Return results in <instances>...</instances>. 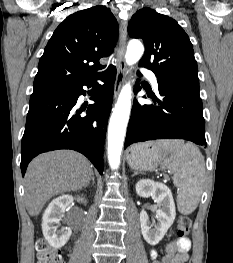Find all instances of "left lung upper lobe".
I'll use <instances>...</instances> for the list:
<instances>
[{"label": "left lung upper lobe", "instance_id": "left-lung-upper-lobe-1", "mask_svg": "<svg viewBox=\"0 0 233 263\" xmlns=\"http://www.w3.org/2000/svg\"><path fill=\"white\" fill-rule=\"evenodd\" d=\"M128 34L143 39L145 53L139 66L152 70L158 80L199 86L193 45L174 19L143 8L132 16Z\"/></svg>", "mask_w": 233, "mask_h": 263}]
</instances>
